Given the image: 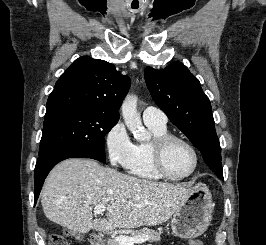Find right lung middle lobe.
<instances>
[{
	"label": "right lung middle lobe",
	"instance_id": "1",
	"mask_svg": "<svg viewBox=\"0 0 266 245\" xmlns=\"http://www.w3.org/2000/svg\"><path fill=\"white\" fill-rule=\"evenodd\" d=\"M119 116L92 109L61 111L44 118L39 157L55 150H74L105 162V135Z\"/></svg>",
	"mask_w": 266,
	"mask_h": 245
}]
</instances>
